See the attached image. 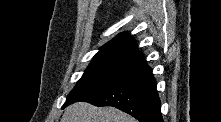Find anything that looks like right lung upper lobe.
<instances>
[{
    "instance_id": "right-lung-upper-lobe-1",
    "label": "right lung upper lobe",
    "mask_w": 221,
    "mask_h": 122,
    "mask_svg": "<svg viewBox=\"0 0 221 122\" xmlns=\"http://www.w3.org/2000/svg\"><path fill=\"white\" fill-rule=\"evenodd\" d=\"M118 58L140 62L144 59L138 50L135 40L126 34H119L110 42L106 43L93 57V60Z\"/></svg>"
}]
</instances>
